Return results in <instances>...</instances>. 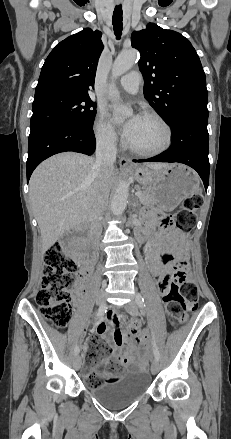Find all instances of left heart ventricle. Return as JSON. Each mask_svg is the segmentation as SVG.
<instances>
[{
    "label": "left heart ventricle",
    "mask_w": 231,
    "mask_h": 439,
    "mask_svg": "<svg viewBox=\"0 0 231 439\" xmlns=\"http://www.w3.org/2000/svg\"><path fill=\"white\" fill-rule=\"evenodd\" d=\"M165 141V131L155 120L142 116L136 132L129 144L137 149L152 150Z\"/></svg>",
    "instance_id": "obj_1"
}]
</instances>
